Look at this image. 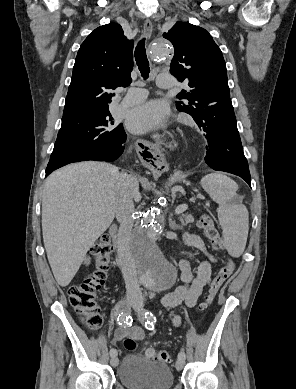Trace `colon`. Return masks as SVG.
<instances>
[{"mask_svg": "<svg viewBox=\"0 0 296 389\" xmlns=\"http://www.w3.org/2000/svg\"><path fill=\"white\" fill-rule=\"evenodd\" d=\"M199 226L204 230L213 248L222 250L223 241L210 216L207 214L201 215ZM91 252L94 256L95 270L80 283L72 285L68 289V298L72 307L82 317L85 325L94 330L99 328L102 323L96 295L107 279V270L111 262L112 253L110 237L107 234L102 235L92 246ZM234 271L235 263L232 260H229L220 268L217 275L211 281L208 294L199 306L201 312H206L210 308L221 287ZM123 344L125 349L129 351L134 350L136 347L135 340L130 337L126 338ZM146 355L151 359L163 363L171 360V355L168 351L158 350L154 347H149L146 350Z\"/></svg>", "mask_w": 296, "mask_h": 389, "instance_id": "5ec220e1", "label": "colon"}]
</instances>
